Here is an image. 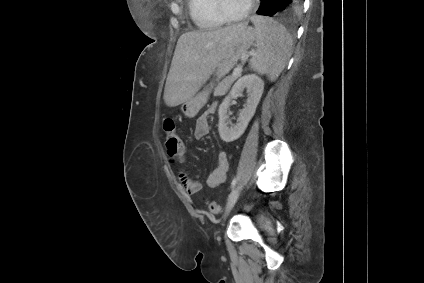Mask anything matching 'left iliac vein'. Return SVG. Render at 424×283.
I'll return each instance as SVG.
<instances>
[{
	"label": "left iliac vein",
	"mask_w": 424,
	"mask_h": 283,
	"mask_svg": "<svg viewBox=\"0 0 424 283\" xmlns=\"http://www.w3.org/2000/svg\"><path fill=\"white\" fill-rule=\"evenodd\" d=\"M240 191H241L240 186H237L230 193V195L228 197V202H227V205H226L225 216L229 213V211L235 205V203H236V201H237V199H238V197L240 195Z\"/></svg>",
	"instance_id": "4c4485c4"
}]
</instances>
